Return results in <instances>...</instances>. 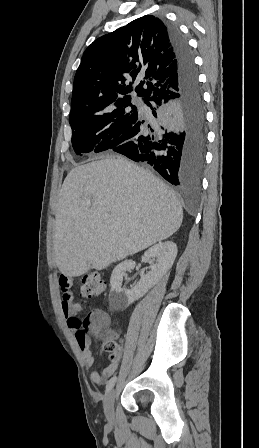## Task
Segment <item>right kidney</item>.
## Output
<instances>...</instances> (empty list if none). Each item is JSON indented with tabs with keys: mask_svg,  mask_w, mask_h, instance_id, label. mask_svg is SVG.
I'll return each mask as SVG.
<instances>
[{
	"mask_svg": "<svg viewBox=\"0 0 259 448\" xmlns=\"http://www.w3.org/2000/svg\"><path fill=\"white\" fill-rule=\"evenodd\" d=\"M177 252V246L174 242H160V244H155V246L149 248L145 252L144 258L150 264V272L145 274V276H141L140 282H137L131 290H123L121 286L125 272L134 270L136 264L133 260H125V262L118 264L110 278L109 304L111 310H125L129 304H133L135 300L145 296L148 290H151L155 284H158L160 278H163L168 270L172 268Z\"/></svg>",
	"mask_w": 259,
	"mask_h": 448,
	"instance_id": "right-kidney-1",
	"label": "right kidney"
}]
</instances>
